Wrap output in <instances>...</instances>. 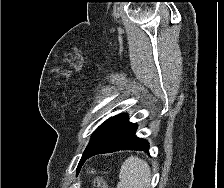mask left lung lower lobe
<instances>
[{"mask_svg":"<svg viewBox=\"0 0 224 188\" xmlns=\"http://www.w3.org/2000/svg\"><path fill=\"white\" fill-rule=\"evenodd\" d=\"M136 130L137 125L129 122L126 114L121 115L113 127L102 137L99 143L82 156L78 167L88 158L101 153L126 149L148 151V142L142 138H138L135 135Z\"/></svg>","mask_w":224,"mask_h":188,"instance_id":"left-lung-lower-lobe-1","label":"left lung lower lobe"}]
</instances>
